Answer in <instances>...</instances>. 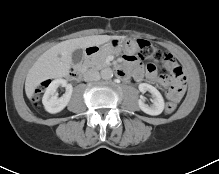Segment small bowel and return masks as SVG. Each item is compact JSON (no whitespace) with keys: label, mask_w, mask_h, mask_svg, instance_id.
<instances>
[{"label":"small bowel","mask_w":219,"mask_h":174,"mask_svg":"<svg viewBox=\"0 0 219 174\" xmlns=\"http://www.w3.org/2000/svg\"><path fill=\"white\" fill-rule=\"evenodd\" d=\"M165 65L171 71V73L175 68L179 67L170 54L166 55ZM120 70L123 74V78H125L126 73L129 72L133 73L136 78H140L142 76V68L137 63V60L133 55H127L124 58V68ZM147 77L150 81L158 82L163 86H169V88L163 93V98L165 101L174 103H179L182 101L183 93L185 91L184 74H182L180 77H175L172 75V77L169 79L159 78L155 72V68L148 67Z\"/></svg>","instance_id":"small-bowel-1"}]
</instances>
